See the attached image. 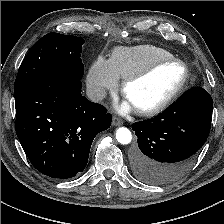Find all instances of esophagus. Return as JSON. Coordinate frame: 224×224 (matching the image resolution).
<instances>
[{"label": "esophagus", "instance_id": "obj_1", "mask_svg": "<svg viewBox=\"0 0 224 224\" xmlns=\"http://www.w3.org/2000/svg\"><path fill=\"white\" fill-rule=\"evenodd\" d=\"M122 124H123V122L120 119L113 117V119H112L113 126H121Z\"/></svg>", "mask_w": 224, "mask_h": 224}]
</instances>
